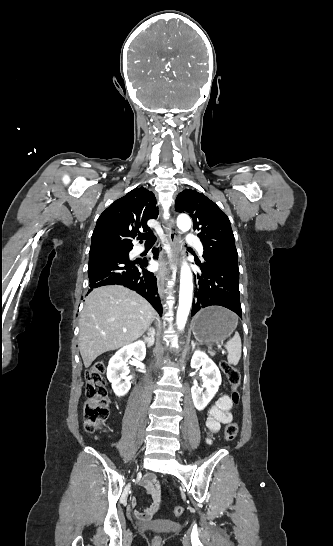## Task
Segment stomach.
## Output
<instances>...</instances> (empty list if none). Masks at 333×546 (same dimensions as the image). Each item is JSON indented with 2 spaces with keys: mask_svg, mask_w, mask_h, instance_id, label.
<instances>
[{
  "mask_svg": "<svg viewBox=\"0 0 333 546\" xmlns=\"http://www.w3.org/2000/svg\"><path fill=\"white\" fill-rule=\"evenodd\" d=\"M193 335L201 344L223 342L237 327L235 316L229 310L211 306L200 311L193 319Z\"/></svg>",
  "mask_w": 333,
  "mask_h": 546,
  "instance_id": "stomach-1",
  "label": "stomach"
}]
</instances>
